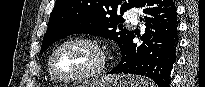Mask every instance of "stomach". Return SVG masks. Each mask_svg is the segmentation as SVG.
<instances>
[{"label": "stomach", "mask_w": 205, "mask_h": 87, "mask_svg": "<svg viewBox=\"0 0 205 87\" xmlns=\"http://www.w3.org/2000/svg\"><path fill=\"white\" fill-rule=\"evenodd\" d=\"M76 87H148L143 79L131 75H109L94 81L84 82Z\"/></svg>", "instance_id": "0dacf381"}]
</instances>
